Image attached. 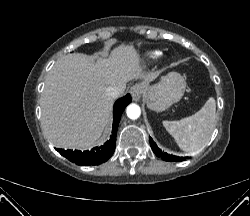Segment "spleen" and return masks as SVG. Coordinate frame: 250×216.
Listing matches in <instances>:
<instances>
[{
    "instance_id": "spleen-1",
    "label": "spleen",
    "mask_w": 250,
    "mask_h": 216,
    "mask_svg": "<svg viewBox=\"0 0 250 216\" xmlns=\"http://www.w3.org/2000/svg\"><path fill=\"white\" fill-rule=\"evenodd\" d=\"M216 121V102L210 97L195 114L179 121H163V126L185 152L201 150L209 141Z\"/></svg>"
}]
</instances>
